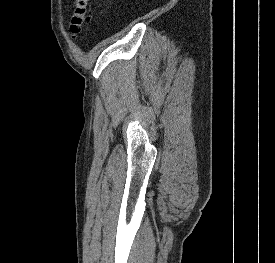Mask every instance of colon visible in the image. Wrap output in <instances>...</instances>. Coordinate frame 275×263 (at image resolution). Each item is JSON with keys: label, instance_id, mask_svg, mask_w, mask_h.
<instances>
[{"label": "colon", "instance_id": "5ec220e1", "mask_svg": "<svg viewBox=\"0 0 275 263\" xmlns=\"http://www.w3.org/2000/svg\"><path fill=\"white\" fill-rule=\"evenodd\" d=\"M92 0H74L69 20V30L73 38L85 34L87 26L92 21Z\"/></svg>", "mask_w": 275, "mask_h": 263}]
</instances>
